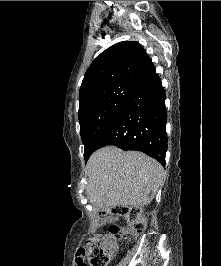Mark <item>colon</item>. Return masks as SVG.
<instances>
[{"instance_id":"obj_1","label":"colon","mask_w":221,"mask_h":266,"mask_svg":"<svg viewBox=\"0 0 221 266\" xmlns=\"http://www.w3.org/2000/svg\"><path fill=\"white\" fill-rule=\"evenodd\" d=\"M128 222V227L110 226L105 235H96L86 242L85 262L88 266H107L118 249V242L126 237L142 234L146 228V219L138 206H118L105 212Z\"/></svg>"}]
</instances>
